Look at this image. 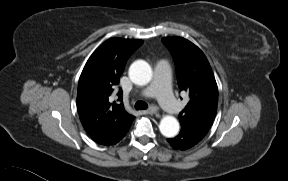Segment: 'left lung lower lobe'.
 Instances as JSON below:
<instances>
[{"label":"left lung lower lobe","instance_id":"0a47b994","mask_svg":"<svg viewBox=\"0 0 288 181\" xmlns=\"http://www.w3.org/2000/svg\"><path fill=\"white\" fill-rule=\"evenodd\" d=\"M207 132L203 128L182 127L178 136L167 140L174 149L186 150L200 142Z\"/></svg>","mask_w":288,"mask_h":181}]
</instances>
